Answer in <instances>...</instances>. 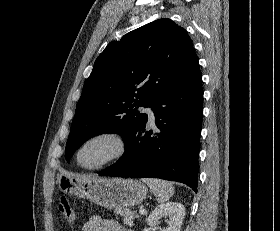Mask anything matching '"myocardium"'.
Here are the masks:
<instances>
[{
	"instance_id": "f54148a6",
	"label": "myocardium",
	"mask_w": 280,
	"mask_h": 231,
	"mask_svg": "<svg viewBox=\"0 0 280 231\" xmlns=\"http://www.w3.org/2000/svg\"><path fill=\"white\" fill-rule=\"evenodd\" d=\"M100 136L114 137L119 143V146H120L119 152L112 159H110L108 162H106L105 164H103L99 167L92 168V169L83 168L80 165V162H79V156H80L81 150L83 149V147L85 146V144L87 142H89L90 140H92L96 137H100ZM128 148H129L128 138L121 130L113 129V128L103 129V130L97 131V132L93 133L92 135L88 136L81 143V145L78 147V149L76 151L75 161H76L77 166L82 171H84V172H96V171L103 170V169L115 164L116 162L120 161L121 159H123L128 152Z\"/></svg>"
}]
</instances>
